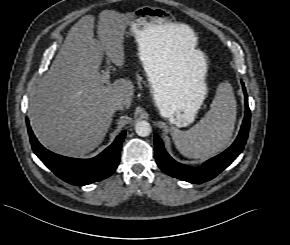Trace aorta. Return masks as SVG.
<instances>
[{"mask_svg": "<svg viewBox=\"0 0 290 245\" xmlns=\"http://www.w3.org/2000/svg\"><path fill=\"white\" fill-rule=\"evenodd\" d=\"M151 125L147 121H138L135 125V132L137 133L138 136L141 137H146L149 136L151 133Z\"/></svg>", "mask_w": 290, "mask_h": 245, "instance_id": "1", "label": "aorta"}]
</instances>
